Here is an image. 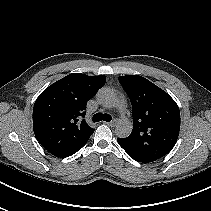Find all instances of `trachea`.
<instances>
[{
    "label": "trachea",
    "instance_id": "3493384b",
    "mask_svg": "<svg viewBox=\"0 0 211 211\" xmlns=\"http://www.w3.org/2000/svg\"><path fill=\"white\" fill-rule=\"evenodd\" d=\"M102 120L106 122H110L112 120V117L109 114H102V113H96L93 116V122H99Z\"/></svg>",
    "mask_w": 211,
    "mask_h": 211
}]
</instances>
